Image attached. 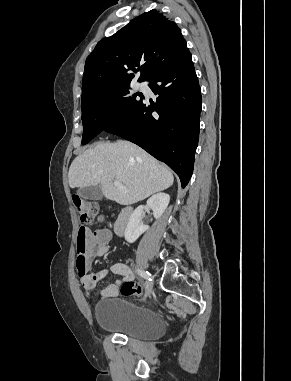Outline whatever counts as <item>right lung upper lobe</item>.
<instances>
[{
  "instance_id": "obj_1",
  "label": "right lung upper lobe",
  "mask_w": 291,
  "mask_h": 381,
  "mask_svg": "<svg viewBox=\"0 0 291 381\" xmlns=\"http://www.w3.org/2000/svg\"><path fill=\"white\" fill-rule=\"evenodd\" d=\"M186 48L180 28L156 10L133 19L114 35L103 38L88 56L82 83L81 105L100 94L148 81Z\"/></svg>"
}]
</instances>
